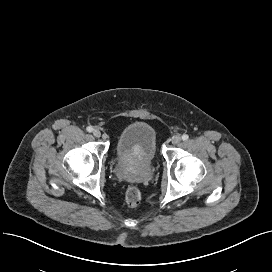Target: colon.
I'll use <instances>...</instances> for the list:
<instances>
[{
	"instance_id": "5ec220e1",
	"label": "colon",
	"mask_w": 272,
	"mask_h": 272,
	"mask_svg": "<svg viewBox=\"0 0 272 272\" xmlns=\"http://www.w3.org/2000/svg\"><path fill=\"white\" fill-rule=\"evenodd\" d=\"M141 192L136 186H129L125 193V201L131 208L137 207L141 202Z\"/></svg>"
}]
</instances>
